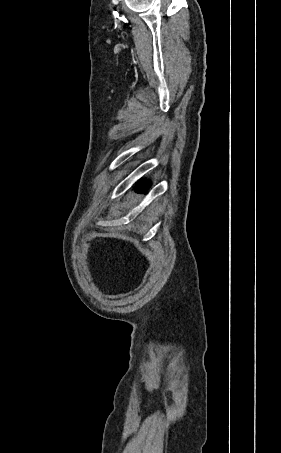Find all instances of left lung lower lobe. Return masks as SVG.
<instances>
[{
  "label": "left lung lower lobe",
  "instance_id": "left-lung-lower-lobe-1",
  "mask_svg": "<svg viewBox=\"0 0 281 453\" xmlns=\"http://www.w3.org/2000/svg\"><path fill=\"white\" fill-rule=\"evenodd\" d=\"M150 183L148 181H142L136 188V191L144 192L149 188Z\"/></svg>",
  "mask_w": 281,
  "mask_h": 453
}]
</instances>
